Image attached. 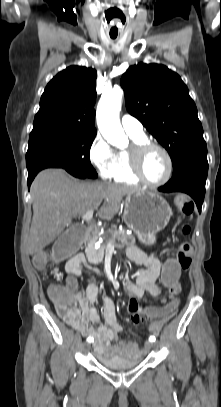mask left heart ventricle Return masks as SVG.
I'll return each instance as SVG.
<instances>
[{
  "mask_svg": "<svg viewBox=\"0 0 221 407\" xmlns=\"http://www.w3.org/2000/svg\"><path fill=\"white\" fill-rule=\"evenodd\" d=\"M143 172L151 181L163 180L168 172V161L165 155L156 149L149 151L143 159Z\"/></svg>",
  "mask_w": 221,
  "mask_h": 407,
  "instance_id": "left-heart-ventricle-1",
  "label": "left heart ventricle"
}]
</instances>
